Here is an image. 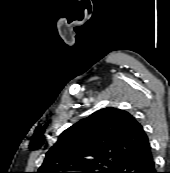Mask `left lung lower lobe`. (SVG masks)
<instances>
[{
  "mask_svg": "<svg viewBox=\"0 0 170 173\" xmlns=\"http://www.w3.org/2000/svg\"><path fill=\"white\" fill-rule=\"evenodd\" d=\"M114 173H157L150 145L144 151L130 155Z\"/></svg>",
  "mask_w": 170,
  "mask_h": 173,
  "instance_id": "obj_1",
  "label": "left lung lower lobe"
}]
</instances>
